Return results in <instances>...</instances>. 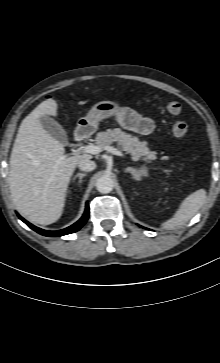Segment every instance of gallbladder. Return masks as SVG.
<instances>
[{"mask_svg":"<svg viewBox=\"0 0 220 363\" xmlns=\"http://www.w3.org/2000/svg\"><path fill=\"white\" fill-rule=\"evenodd\" d=\"M44 129L61 144L66 145L68 143V137L63 127L57 123L54 119L48 116H42L39 118Z\"/></svg>","mask_w":220,"mask_h":363,"instance_id":"obj_1","label":"gallbladder"}]
</instances>
